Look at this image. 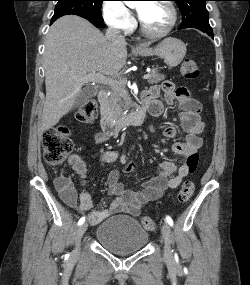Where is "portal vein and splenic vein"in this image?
I'll return each instance as SVG.
<instances>
[{
	"mask_svg": "<svg viewBox=\"0 0 250 285\" xmlns=\"http://www.w3.org/2000/svg\"><path fill=\"white\" fill-rule=\"evenodd\" d=\"M150 77L149 74H144L143 75V79L147 80ZM84 80L86 81H94L100 84H106V85H110V86H114L117 83H121V80H115L111 77H106L100 73H95L93 75H90L89 77H85Z\"/></svg>",
	"mask_w": 250,
	"mask_h": 285,
	"instance_id": "portal-vein-and-splenic-vein-1",
	"label": "portal vein and splenic vein"
}]
</instances>
